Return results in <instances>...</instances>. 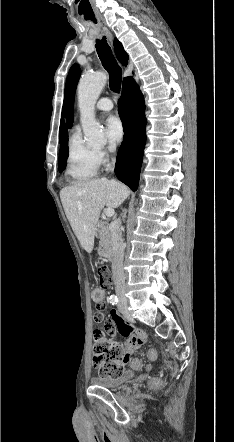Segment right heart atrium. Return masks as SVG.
Segmentation results:
<instances>
[{
  "label": "right heart atrium",
  "mask_w": 234,
  "mask_h": 442,
  "mask_svg": "<svg viewBox=\"0 0 234 442\" xmlns=\"http://www.w3.org/2000/svg\"><path fill=\"white\" fill-rule=\"evenodd\" d=\"M114 152V147H110L108 151L100 150L97 152L100 163H106L109 159V154Z\"/></svg>",
  "instance_id": "1"
}]
</instances>
